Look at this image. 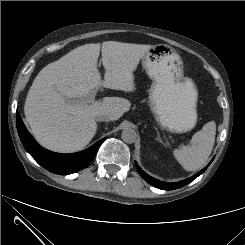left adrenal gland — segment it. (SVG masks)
Returning a JSON list of instances; mask_svg holds the SVG:
<instances>
[{"label": "left adrenal gland", "mask_w": 245, "mask_h": 245, "mask_svg": "<svg viewBox=\"0 0 245 245\" xmlns=\"http://www.w3.org/2000/svg\"><path fill=\"white\" fill-rule=\"evenodd\" d=\"M155 130L157 131V137L156 140H158L160 143H162L164 146H168V143H164L163 140L161 139L159 132L157 130V128H155Z\"/></svg>", "instance_id": "obj_1"}]
</instances>
